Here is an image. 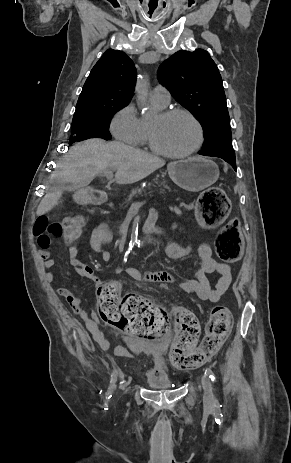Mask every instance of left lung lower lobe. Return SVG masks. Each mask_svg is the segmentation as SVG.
<instances>
[{"label":"left lung lower lobe","instance_id":"obj_1","mask_svg":"<svg viewBox=\"0 0 291 463\" xmlns=\"http://www.w3.org/2000/svg\"><path fill=\"white\" fill-rule=\"evenodd\" d=\"M201 154V153H199ZM203 155V154H201ZM216 157H219V158H222L223 160H225L226 162H228L233 168L234 170L236 171V161H235V158H226V157H222V156H216Z\"/></svg>","mask_w":291,"mask_h":463}]
</instances>
